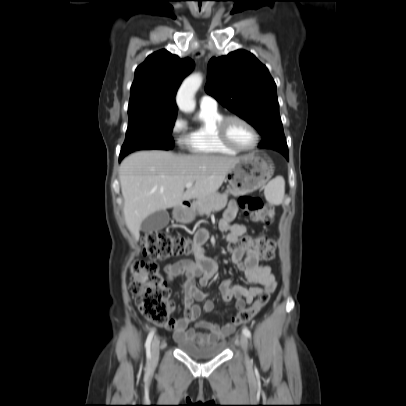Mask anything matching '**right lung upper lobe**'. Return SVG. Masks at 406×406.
Returning a JSON list of instances; mask_svg holds the SVG:
<instances>
[{
  "mask_svg": "<svg viewBox=\"0 0 406 406\" xmlns=\"http://www.w3.org/2000/svg\"><path fill=\"white\" fill-rule=\"evenodd\" d=\"M193 68L190 58L181 59L167 50L149 55L136 68L128 112L177 114L176 92Z\"/></svg>",
  "mask_w": 406,
  "mask_h": 406,
  "instance_id": "right-lung-upper-lobe-1",
  "label": "right lung upper lobe"
}]
</instances>
